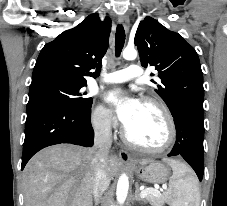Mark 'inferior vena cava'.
Instances as JSON below:
<instances>
[{"label":"inferior vena cava","instance_id":"inferior-vena-cava-1","mask_svg":"<svg viewBox=\"0 0 227 206\" xmlns=\"http://www.w3.org/2000/svg\"><path fill=\"white\" fill-rule=\"evenodd\" d=\"M111 145L112 131L111 116L109 115L96 127L94 146L91 149L93 153L91 165L94 171L93 195L95 201H98V198L110 184L107 160Z\"/></svg>","mask_w":227,"mask_h":206}]
</instances>
